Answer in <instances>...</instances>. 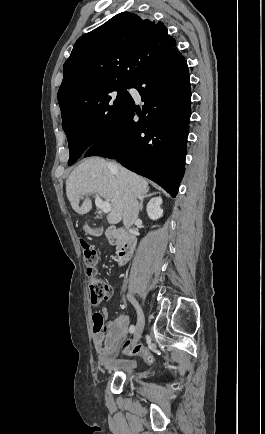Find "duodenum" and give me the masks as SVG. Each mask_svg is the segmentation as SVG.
Segmentation results:
<instances>
[{"instance_id":"410a0bca","label":"duodenum","mask_w":265,"mask_h":434,"mask_svg":"<svg viewBox=\"0 0 265 434\" xmlns=\"http://www.w3.org/2000/svg\"><path fill=\"white\" fill-rule=\"evenodd\" d=\"M135 227L118 228L110 226L105 230V235L110 244H120L116 254V263L118 266L124 265L125 261L131 258V239H129V230Z\"/></svg>"}]
</instances>
